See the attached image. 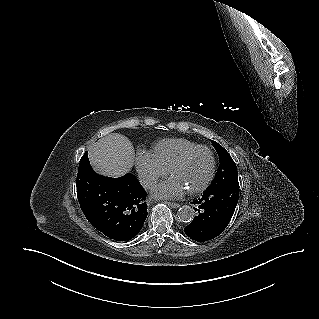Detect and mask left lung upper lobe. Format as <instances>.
<instances>
[{"label": "left lung upper lobe", "instance_id": "left-lung-upper-lobe-1", "mask_svg": "<svg viewBox=\"0 0 319 319\" xmlns=\"http://www.w3.org/2000/svg\"><path fill=\"white\" fill-rule=\"evenodd\" d=\"M219 156V168L214 180L207 189H214L223 185L238 182L237 167L229 153L220 144L211 141Z\"/></svg>", "mask_w": 319, "mask_h": 319}]
</instances>
